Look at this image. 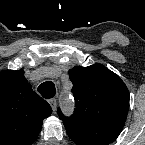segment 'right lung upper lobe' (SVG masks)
Masks as SVG:
<instances>
[{
    "label": "right lung upper lobe",
    "instance_id": "cb5924a9",
    "mask_svg": "<svg viewBox=\"0 0 145 145\" xmlns=\"http://www.w3.org/2000/svg\"><path fill=\"white\" fill-rule=\"evenodd\" d=\"M50 105L32 90L24 71L0 73V145H31L38 137Z\"/></svg>",
    "mask_w": 145,
    "mask_h": 145
}]
</instances>
